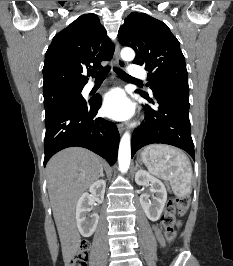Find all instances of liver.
Instances as JSON below:
<instances>
[{"label": "liver", "mask_w": 233, "mask_h": 266, "mask_svg": "<svg viewBox=\"0 0 233 266\" xmlns=\"http://www.w3.org/2000/svg\"><path fill=\"white\" fill-rule=\"evenodd\" d=\"M46 170L49 198L66 260L80 240L75 220L78 198L98 179L103 163L87 149L70 147L54 155Z\"/></svg>", "instance_id": "1"}]
</instances>
